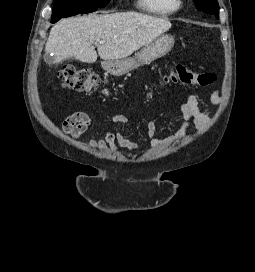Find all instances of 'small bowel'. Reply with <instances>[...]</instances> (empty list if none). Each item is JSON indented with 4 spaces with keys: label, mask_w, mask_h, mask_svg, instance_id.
Returning a JSON list of instances; mask_svg holds the SVG:
<instances>
[{
    "label": "small bowel",
    "mask_w": 255,
    "mask_h": 272,
    "mask_svg": "<svg viewBox=\"0 0 255 272\" xmlns=\"http://www.w3.org/2000/svg\"><path fill=\"white\" fill-rule=\"evenodd\" d=\"M211 101L216 105L221 102L219 91H214L211 94ZM179 105L183 115V123L177 133L169 137L166 141L155 137V122L153 120H149L147 122L146 138L151 142L153 147L159 148L166 143L176 142L183 137L191 126L201 129L209 121V116L204 114L199 108V100L196 94L187 95ZM110 121L123 126H127L129 124V119L123 114L113 115L110 118ZM90 123L91 119L87 113L75 112L63 121L62 130L65 134L73 137L74 139H78L88 129ZM89 145L97 148L109 146L114 151H117L120 148H126L129 150H137L139 148V144L133 139L126 137L122 131H118L116 133L107 131L101 139L91 140Z\"/></svg>",
    "instance_id": "c3829d8e"
}]
</instances>
